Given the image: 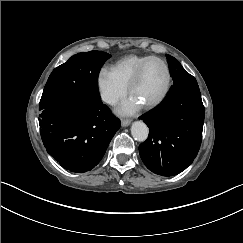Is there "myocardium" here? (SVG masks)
<instances>
[{
	"label": "myocardium",
	"instance_id": "f54148a6",
	"mask_svg": "<svg viewBox=\"0 0 243 243\" xmlns=\"http://www.w3.org/2000/svg\"><path fill=\"white\" fill-rule=\"evenodd\" d=\"M151 61H159L165 66L167 73H168V83H167L166 89L164 90L163 94L158 99L143 105L146 109L155 108V107L159 106L160 104H162L165 101V99L168 97V95L172 89V86H173V72H172V69H171L169 63L160 57L154 56L152 58H149V59L143 61L139 65L138 69L136 70V72L134 73V75L132 76V78L130 79V81L127 84V87H126L127 92L130 94L131 89L139 81L144 68Z\"/></svg>",
	"mask_w": 243,
	"mask_h": 243
}]
</instances>
